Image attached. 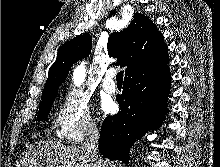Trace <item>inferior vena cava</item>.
I'll return each mask as SVG.
<instances>
[{
  "mask_svg": "<svg viewBox=\"0 0 220 167\" xmlns=\"http://www.w3.org/2000/svg\"><path fill=\"white\" fill-rule=\"evenodd\" d=\"M85 135V151L95 161L97 167H105V164L103 163L101 157L98 154L99 131L94 123L88 125Z\"/></svg>",
  "mask_w": 220,
  "mask_h": 167,
  "instance_id": "inferior-vena-cava-1",
  "label": "inferior vena cava"
}]
</instances>
